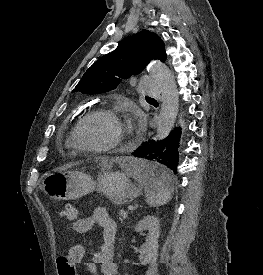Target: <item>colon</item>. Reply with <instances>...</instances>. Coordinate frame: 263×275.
Wrapping results in <instances>:
<instances>
[{
    "instance_id": "1",
    "label": "colon",
    "mask_w": 263,
    "mask_h": 275,
    "mask_svg": "<svg viewBox=\"0 0 263 275\" xmlns=\"http://www.w3.org/2000/svg\"><path fill=\"white\" fill-rule=\"evenodd\" d=\"M62 215L69 221H76L79 216L77 207L67 204ZM84 256L83 247L73 246L66 255L57 258V266L59 275H75V266L81 263Z\"/></svg>"
}]
</instances>
